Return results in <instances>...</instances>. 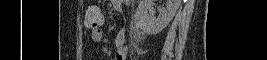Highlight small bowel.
Listing matches in <instances>:
<instances>
[{
  "instance_id": "c3829d8e",
  "label": "small bowel",
  "mask_w": 267,
  "mask_h": 60,
  "mask_svg": "<svg viewBox=\"0 0 267 60\" xmlns=\"http://www.w3.org/2000/svg\"><path fill=\"white\" fill-rule=\"evenodd\" d=\"M123 1L121 0H114L113 6L116 9H120L122 7ZM102 30L96 29L91 31L90 40L91 43L94 45L99 44L102 41ZM115 46H116V55L114 60H126L128 54V45L126 41V33L125 30L122 28L119 30L115 37Z\"/></svg>"
}]
</instances>
